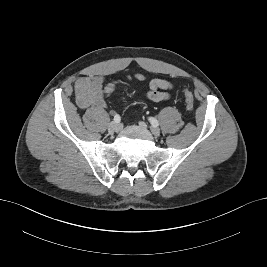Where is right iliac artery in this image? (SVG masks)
<instances>
[{
    "label": "right iliac artery",
    "mask_w": 267,
    "mask_h": 267,
    "mask_svg": "<svg viewBox=\"0 0 267 267\" xmlns=\"http://www.w3.org/2000/svg\"><path fill=\"white\" fill-rule=\"evenodd\" d=\"M120 120H121L120 116H119L118 114H116V115L114 116V122L119 123Z\"/></svg>",
    "instance_id": "obj_1"
}]
</instances>
